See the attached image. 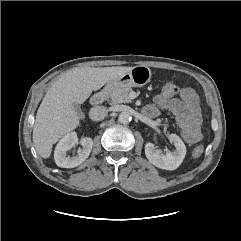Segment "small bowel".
<instances>
[{
    "label": "small bowel",
    "instance_id": "c3829d8e",
    "mask_svg": "<svg viewBox=\"0 0 241 241\" xmlns=\"http://www.w3.org/2000/svg\"><path fill=\"white\" fill-rule=\"evenodd\" d=\"M179 98H165L159 94L154 103L145 108V114L155 117L160 109L171 111L181 128L184 140L189 144H195L201 139V111L199 98L190 87H183L179 92Z\"/></svg>",
    "mask_w": 241,
    "mask_h": 241
}]
</instances>
